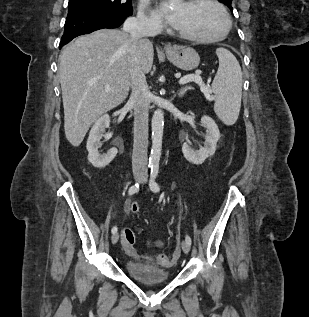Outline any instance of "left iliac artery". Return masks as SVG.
<instances>
[{"instance_id": "obj_1", "label": "left iliac artery", "mask_w": 309, "mask_h": 317, "mask_svg": "<svg viewBox=\"0 0 309 317\" xmlns=\"http://www.w3.org/2000/svg\"><path fill=\"white\" fill-rule=\"evenodd\" d=\"M159 172V166L158 165H154L151 169V175H150V183H149V187L150 189L157 193L160 191V187L159 185L156 183L155 179L158 175ZM186 241L191 245L192 241L189 235H186L185 237Z\"/></svg>"}]
</instances>
